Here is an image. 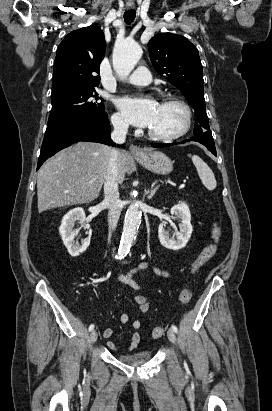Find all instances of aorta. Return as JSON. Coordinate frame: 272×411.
I'll return each mask as SVG.
<instances>
[{"label":"aorta","instance_id":"aorta-1","mask_svg":"<svg viewBox=\"0 0 272 411\" xmlns=\"http://www.w3.org/2000/svg\"><path fill=\"white\" fill-rule=\"evenodd\" d=\"M142 56V49L135 41H125L115 46L113 51V67L117 75L124 79L134 69ZM141 212L138 206L131 204L126 211L123 231L118 248L117 258L123 259L130 251L139 228Z\"/></svg>","mask_w":272,"mask_h":411}]
</instances>
